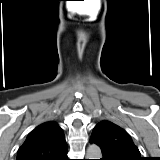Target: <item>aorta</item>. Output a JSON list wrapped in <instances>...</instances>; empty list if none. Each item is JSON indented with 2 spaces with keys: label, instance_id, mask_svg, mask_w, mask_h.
I'll return each mask as SVG.
<instances>
[{
  "label": "aorta",
  "instance_id": "aorta-1",
  "mask_svg": "<svg viewBox=\"0 0 160 160\" xmlns=\"http://www.w3.org/2000/svg\"><path fill=\"white\" fill-rule=\"evenodd\" d=\"M102 152L99 146L92 144L89 145L86 151V159H101Z\"/></svg>",
  "mask_w": 160,
  "mask_h": 160
}]
</instances>
